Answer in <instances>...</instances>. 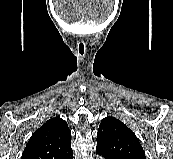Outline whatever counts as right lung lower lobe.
Returning a JSON list of instances; mask_svg holds the SVG:
<instances>
[{
	"instance_id": "98d812e1",
	"label": "right lung lower lobe",
	"mask_w": 173,
	"mask_h": 159,
	"mask_svg": "<svg viewBox=\"0 0 173 159\" xmlns=\"http://www.w3.org/2000/svg\"><path fill=\"white\" fill-rule=\"evenodd\" d=\"M65 159H73V152H72V154H70L67 157H65Z\"/></svg>"
}]
</instances>
